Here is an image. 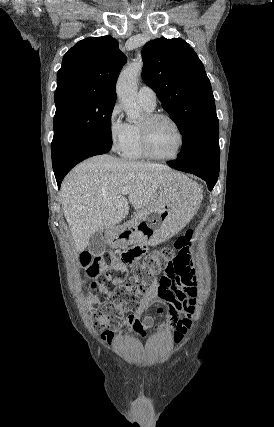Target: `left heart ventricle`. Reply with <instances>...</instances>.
I'll use <instances>...</instances> for the list:
<instances>
[{"mask_svg":"<svg viewBox=\"0 0 274 427\" xmlns=\"http://www.w3.org/2000/svg\"><path fill=\"white\" fill-rule=\"evenodd\" d=\"M149 144L158 156H172L178 148L177 132L169 122L159 120L150 129Z\"/></svg>","mask_w":274,"mask_h":427,"instance_id":"left-heart-ventricle-1","label":"left heart ventricle"}]
</instances>
